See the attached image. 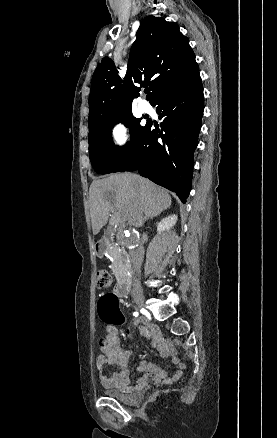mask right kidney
I'll use <instances>...</instances> for the list:
<instances>
[{"label":"right kidney","instance_id":"obj_1","mask_svg":"<svg viewBox=\"0 0 277 438\" xmlns=\"http://www.w3.org/2000/svg\"><path fill=\"white\" fill-rule=\"evenodd\" d=\"M177 218L178 216H176V214H172V216H168V218H163V220H161L157 226L158 234H161V232H167V230H171V228L175 226Z\"/></svg>","mask_w":277,"mask_h":438}]
</instances>
